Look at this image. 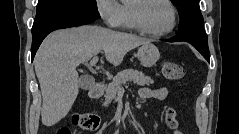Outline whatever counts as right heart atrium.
<instances>
[{
  "instance_id": "1",
  "label": "right heart atrium",
  "mask_w": 239,
  "mask_h": 134,
  "mask_svg": "<svg viewBox=\"0 0 239 134\" xmlns=\"http://www.w3.org/2000/svg\"><path fill=\"white\" fill-rule=\"evenodd\" d=\"M97 11L109 27H118L121 22V6L116 0H97Z\"/></svg>"
}]
</instances>
